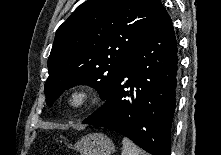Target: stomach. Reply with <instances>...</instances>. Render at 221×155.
Returning <instances> with one entry per match:
<instances>
[{
    "label": "stomach",
    "mask_w": 221,
    "mask_h": 155,
    "mask_svg": "<svg viewBox=\"0 0 221 155\" xmlns=\"http://www.w3.org/2000/svg\"><path fill=\"white\" fill-rule=\"evenodd\" d=\"M81 155H111L115 146L111 139L101 133L88 134L73 145Z\"/></svg>",
    "instance_id": "obj_1"
}]
</instances>
